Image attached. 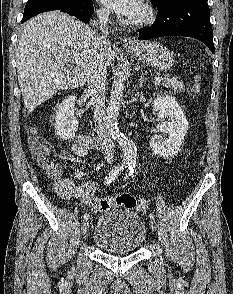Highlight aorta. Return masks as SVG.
Wrapping results in <instances>:
<instances>
[{
	"mask_svg": "<svg viewBox=\"0 0 233 294\" xmlns=\"http://www.w3.org/2000/svg\"><path fill=\"white\" fill-rule=\"evenodd\" d=\"M124 80L125 74L123 72L116 73L107 107L106 125L111 137L119 143L123 150L124 162L128 166L134 167L137 160L136 146L118 128V116L125 88Z\"/></svg>",
	"mask_w": 233,
	"mask_h": 294,
	"instance_id": "aorta-1",
	"label": "aorta"
}]
</instances>
